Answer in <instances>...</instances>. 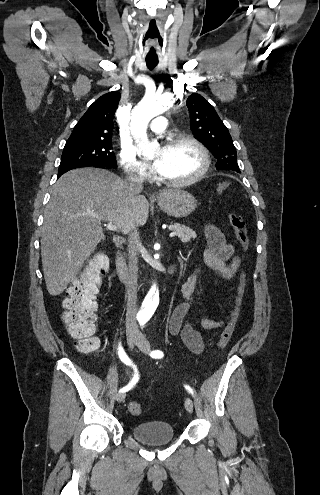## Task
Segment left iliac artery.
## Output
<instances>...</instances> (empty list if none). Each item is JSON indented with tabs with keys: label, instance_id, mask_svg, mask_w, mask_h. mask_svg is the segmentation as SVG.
Segmentation results:
<instances>
[{
	"label": "left iliac artery",
	"instance_id": "1",
	"mask_svg": "<svg viewBox=\"0 0 320 495\" xmlns=\"http://www.w3.org/2000/svg\"><path fill=\"white\" fill-rule=\"evenodd\" d=\"M140 323L141 325H144L146 323V320H142L140 321ZM150 355L153 358L160 359L164 356V353L161 350H154L151 352ZM184 387L193 395V389L190 386L184 385Z\"/></svg>",
	"mask_w": 320,
	"mask_h": 495
}]
</instances>
